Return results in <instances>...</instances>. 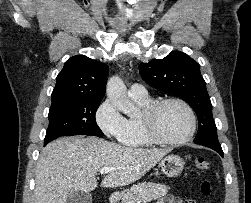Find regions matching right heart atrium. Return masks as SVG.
Instances as JSON below:
<instances>
[{
  "label": "right heart atrium",
  "mask_w": 251,
  "mask_h": 203,
  "mask_svg": "<svg viewBox=\"0 0 251 203\" xmlns=\"http://www.w3.org/2000/svg\"><path fill=\"white\" fill-rule=\"evenodd\" d=\"M95 121L108 138L119 139L126 128V119L110 99H106L98 107L95 113Z\"/></svg>",
  "instance_id": "obj_1"
}]
</instances>
